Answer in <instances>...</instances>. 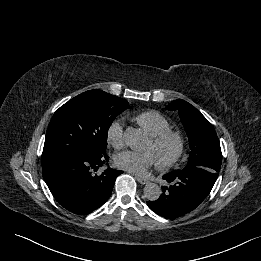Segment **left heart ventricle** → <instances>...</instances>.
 <instances>
[{"mask_svg":"<svg viewBox=\"0 0 261 261\" xmlns=\"http://www.w3.org/2000/svg\"><path fill=\"white\" fill-rule=\"evenodd\" d=\"M145 150L153 152L158 162L170 157L175 150V145L173 143H168L162 147H156L149 140L145 146Z\"/></svg>","mask_w":261,"mask_h":261,"instance_id":"left-heart-ventricle-1","label":"left heart ventricle"}]
</instances>
